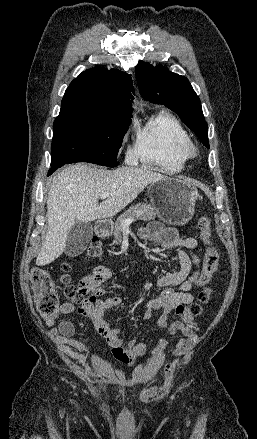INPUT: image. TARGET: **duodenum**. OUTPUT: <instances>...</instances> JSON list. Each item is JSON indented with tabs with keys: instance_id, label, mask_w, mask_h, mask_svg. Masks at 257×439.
<instances>
[{
	"instance_id": "obj_1",
	"label": "duodenum",
	"mask_w": 257,
	"mask_h": 439,
	"mask_svg": "<svg viewBox=\"0 0 257 439\" xmlns=\"http://www.w3.org/2000/svg\"><path fill=\"white\" fill-rule=\"evenodd\" d=\"M110 228L111 224L108 221H98L96 223V231L102 237H105L109 234Z\"/></svg>"
}]
</instances>
